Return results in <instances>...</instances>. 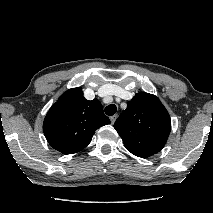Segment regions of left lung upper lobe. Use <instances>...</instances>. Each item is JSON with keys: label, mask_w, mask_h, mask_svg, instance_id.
<instances>
[{"label": "left lung upper lobe", "mask_w": 213, "mask_h": 213, "mask_svg": "<svg viewBox=\"0 0 213 213\" xmlns=\"http://www.w3.org/2000/svg\"><path fill=\"white\" fill-rule=\"evenodd\" d=\"M114 128L132 154L147 158L161 151L167 142L170 116L160 100L149 93H138L128 102Z\"/></svg>", "instance_id": "left-lung-upper-lobe-1"}]
</instances>
